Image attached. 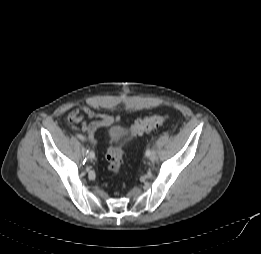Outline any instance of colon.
Listing matches in <instances>:
<instances>
[{"label":"colon","mask_w":261,"mask_h":254,"mask_svg":"<svg viewBox=\"0 0 261 254\" xmlns=\"http://www.w3.org/2000/svg\"><path fill=\"white\" fill-rule=\"evenodd\" d=\"M168 120L164 115H151L144 118H140L134 122L129 131V138L142 135L145 132H149L153 129L159 128L164 125ZM123 149L122 143L110 147L106 153V160L108 163V170L116 175L119 173L122 165Z\"/></svg>","instance_id":"colon-1"}]
</instances>
